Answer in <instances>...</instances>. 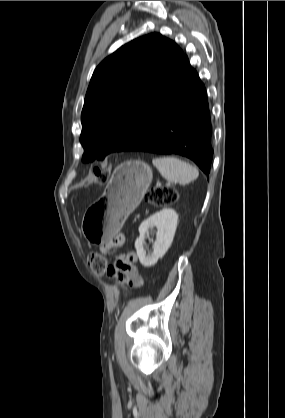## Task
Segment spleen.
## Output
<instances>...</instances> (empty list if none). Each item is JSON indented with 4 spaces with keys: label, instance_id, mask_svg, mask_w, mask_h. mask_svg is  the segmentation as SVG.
Returning a JSON list of instances; mask_svg holds the SVG:
<instances>
[{
    "label": "spleen",
    "instance_id": "3e777b00",
    "mask_svg": "<svg viewBox=\"0 0 285 418\" xmlns=\"http://www.w3.org/2000/svg\"><path fill=\"white\" fill-rule=\"evenodd\" d=\"M152 163L169 182L185 185L199 176L197 168L176 157H158Z\"/></svg>",
    "mask_w": 285,
    "mask_h": 418
}]
</instances>
